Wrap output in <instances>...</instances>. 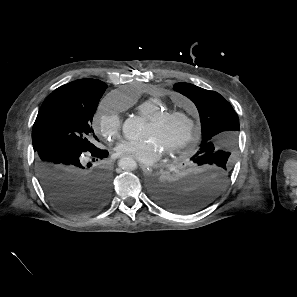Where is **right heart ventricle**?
<instances>
[{
	"label": "right heart ventricle",
	"instance_id": "1",
	"mask_svg": "<svg viewBox=\"0 0 297 297\" xmlns=\"http://www.w3.org/2000/svg\"><path fill=\"white\" fill-rule=\"evenodd\" d=\"M138 112L147 120L168 110L165 101L159 97H150L137 106Z\"/></svg>",
	"mask_w": 297,
	"mask_h": 297
}]
</instances>
